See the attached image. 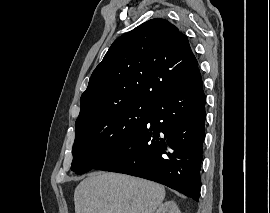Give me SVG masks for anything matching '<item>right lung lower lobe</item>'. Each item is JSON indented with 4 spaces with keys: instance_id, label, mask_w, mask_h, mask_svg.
<instances>
[{
    "instance_id": "right-lung-lower-lobe-1",
    "label": "right lung lower lobe",
    "mask_w": 270,
    "mask_h": 213,
    "mask_svg": "<svg viewBox=\"0 0 270 213\" xmlns=\"http://www.w3.org/2000/svg\"><path fill=\"white\" fill-rule=\"evenodd\" d=\"M205 118L197 68L157 100L140 129L95 169L149 179L199 201Z\"/></svg>"
}]
</instances>
